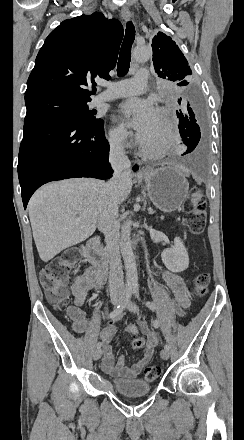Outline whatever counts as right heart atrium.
I'll return each instance as SVG.
<instances>
[{
  "instance_id": "d8ad5b80",
  "label": "right heart atrium",
  "mask_w": 244,
  "mask_h": 440,
  "mask_svg": "<svg viewBox=\"0 0 244 440\" xmlns=\"http://www.w3.org/2000/svg\"><path fill=\"white\" fill-rule=\"evenodd\" d=\"M134 138L137 141L143 139L142 136H134L133 133L123 125H115L111 127L109 131V143L111 147L115 149L129 146Z\"/></svg>"
}]
</instances>
